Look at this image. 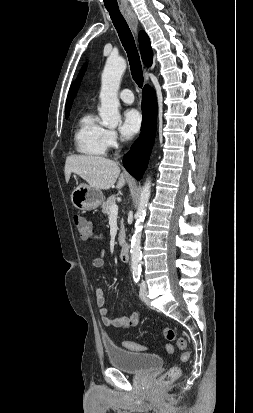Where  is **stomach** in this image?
<instances>
[{"label": "stomach", "mask_w": 253, "mask_h": 413, "mask_svg": "<svg viewBox=\"0 0 253 413\" xmlns=\"http://www.w3.org/2000/svg\"><path fill=\"white\" fill-rule=\"evenodd\" d=\"M101 190L92 188L90 185L81 183L71 194V201L74 207L82 210H93L98 208L103 202Z\"/></svg>", "instance_id": "1"}]
</instances>
